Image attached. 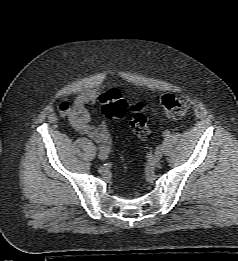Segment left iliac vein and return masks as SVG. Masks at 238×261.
Returning <instances> with one entry per match:
<instances>
[{"mask_svg":"<svg viewBox=\"0 0 238 261\" xmlns=\"http://www.w3.org/2000/svg\"><path fill=\"white\" fill-rule=\"evenodd\" d=\"M163 156V147L159 146L154 152L153 162H158Z\"/></svg>","mask_w":238,"mask_h":261,"instance_id":"left-iliac-vein-1","label":"left iliac vein"}]
</instances>
